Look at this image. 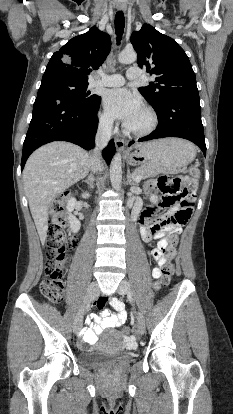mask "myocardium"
Returning a JSON list of instances; mask_svg holds the SVG:
<instances>
[{"instance_id": "f54148a6", "label": "myocardium", "mask_w": 233, "mask_h": 414, "mask_svg": "<svg viewBox=\"0 0 233 414\" xmlns=\"http://www.w3.org/2000/svg\"><path fill=\"white\" fill-rule=\"evenodd\" d=\"M143 111L149 118L148 124L142 129H134L125 125V132L135 137H144L151 134L158 126V116L156 112L150 107H144Z\"/></svg>"}]
</instances>
